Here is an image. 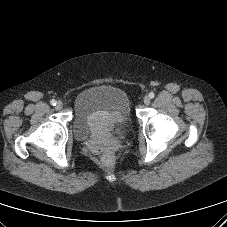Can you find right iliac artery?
I'll return each mask as SVG.
<instances>
[{"label":"right iliac artery","instance_id":"obj_1","mask_svg":"<svg viewBox=\"0 0 227 227\" xmlns=\"http://www.w3.org/2000/svg\"><path fill=\"white\" fill-rule=\"evenodd\" d=\"M50 104L53 105V106H55V105H56V101H55L54 99H52V100L50 101Z\"/></svg>","mask_w":227,"mask_h":227}]
</instances>
